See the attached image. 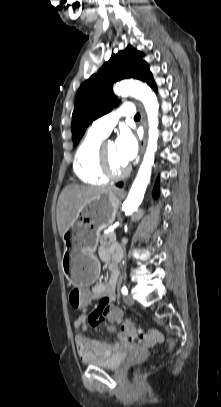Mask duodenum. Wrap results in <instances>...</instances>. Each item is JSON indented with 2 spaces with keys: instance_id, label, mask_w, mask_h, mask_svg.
<instances>
[{
  "instance_id": "duodenum-1",
  "label": "duodenum",
  "mask_w": 221,
  "mask_h": 407,
  "mask_svg": "<svg viewBox=\"0 0 221 407\" xmlns=\"http://www.w3.org/2000/svg\"><path fill=\"white\" fill-rule=\"evenodd\" d=\"M114 256H115V260L118 261L120 259V256H121L120 251L116 250L115 253H114ZM110 268H111V270H114L115 263L111 264Z\"/></svg>"
}]
</instances>
